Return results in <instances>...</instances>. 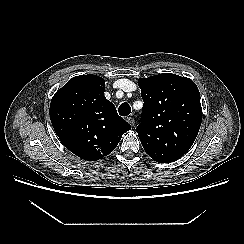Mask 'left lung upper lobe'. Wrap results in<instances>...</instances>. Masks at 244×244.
I'll use <instances>...</instances> for the list:
<instances>
[{
    "instance_id": "obj_1",
    "label": "left lung upper lobe",
    "mask_w": 244,
    "mask_h": 244,
    "mask_svg": "<svg viewBox=\"0 0 244 244\" xmlns=\"http://www.w3.org/2000/svg\"><path fill=\"white\" fill-rule=\"evenodd\" d=\"M138 85L144 106L136 132L145 152L159 163L180 159L194 143L202 122L196 84L164 73L140 78Z\"/></svg>"
}]
</instances>
